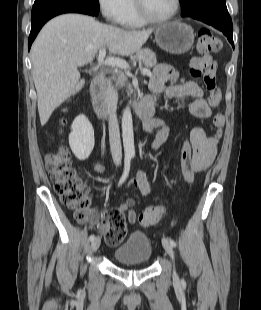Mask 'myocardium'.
<instances>
[{"label":"myocardium","instance_id":"f54148a6","mask_svg":"<svg viewBox=\"0 0 261 310\" xmlns=\"http://www.w3.org/2000/svg\"><path fill=\"white\" fill-rule=\"evenodd\" d=\"M134 3L139 18L147 24H161L168 22L176 17L181 8V0H175L174 9L169 15L162 18H154L147 12L143 0H134Z\"/></svg>","mask_w":261,"mask_h":310}]
</instances>
